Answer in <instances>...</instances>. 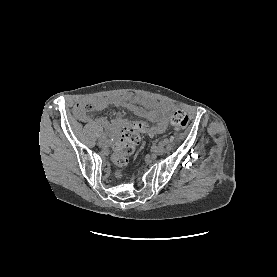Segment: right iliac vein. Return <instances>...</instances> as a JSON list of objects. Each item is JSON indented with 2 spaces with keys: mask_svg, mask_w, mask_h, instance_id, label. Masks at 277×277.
Returning <instances> with one entry per match:
<instances>
[{
  "mask_svg": "<svg viewBox=\"0 0 277 277\" xmlns=\"http://www.w3.org/2000/svg\"><path fill=\"white\" fill-rule=\"evenodd\" d=\"M109 144V140L107 138H100L98 141V145L100 147H107Z\"/></svg>",
  "mask_w": 277,
  "mask_h": 277,
  "instance_id": "1",
  "label": "right iliac vein"
}]
</instances>
